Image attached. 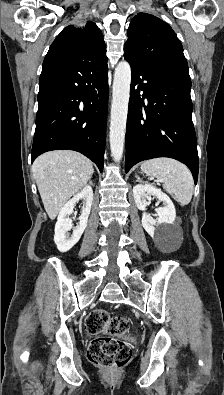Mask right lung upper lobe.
<instances>
[{
    "mask_svg": "<svg viewBox=\"0 0 224 395\" xmlns=\"http://www.w3.org/2000/svg\"><path fill=\"white\" fill-rule=\"evenodd\" d=\"M62 53L79 61L97 62L107 59L103 35L95 23L69 25L56 37L47 54Z\"/></svg>",
    "mask_w": 224,
    "mask_h": 395,
    "instance_id": "right-lung-upper-lobe-1",
    "label": "right lung upper lobe"
}]
</instances>
